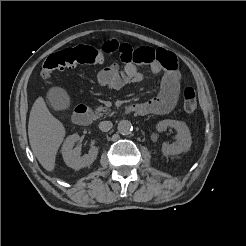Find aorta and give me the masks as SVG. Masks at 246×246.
I'll return each instance as SVG.
<instances>
[{"label":"aorta","instance_id":"1","mask_svg":"<svg viewBox=\"0 0 246 246\" xmlns=\"http://www.w3.org/2000/svg\"><path fill=\"white\" fill-rule=\"evenodd\" d=\"M117 128H118L119 133H121L123 135H128L133 130V126H132L131 122L128 121V120H121L118 123V127Z\"/></svg>","mask_w":246,"mask_h":246}]
</instances>
